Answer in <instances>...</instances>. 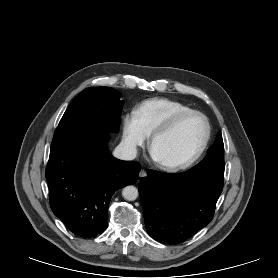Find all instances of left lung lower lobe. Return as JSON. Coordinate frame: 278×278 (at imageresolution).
<instances>
[{"label":"left lung lower lobe","mask_w":278,"mask_h":278,"mask_svg":"<svg viewBox=\"0 0 278 278\" xmlns=\"http://www.w3.org/2000/svg\"><path fill=\"white\" fill-rule=\"evenodd\" d=\"M223 180L202 172L149 170L139 184L147 233L164 244L187 240L212 220Z\"/></svg>","instance_id":"obj_1"}]
</instances>
